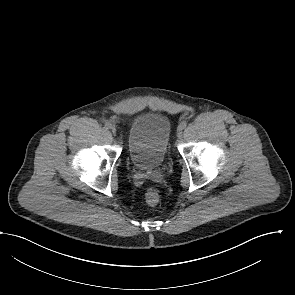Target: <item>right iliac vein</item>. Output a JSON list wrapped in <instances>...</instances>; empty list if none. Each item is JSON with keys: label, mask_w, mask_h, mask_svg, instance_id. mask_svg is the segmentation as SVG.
<instances>
[{"label": "right iliac vein", "mask_w": 295, "mask_h": 295, "mask_svg": "<svg viewBox=\"0 0 295 295\" xmlns=\"http://www.w3.org/2000/svg\"><path fill=\"white\" fill-rule=\"evenodd\" d=\"M111 131H112L113 134H116V131H117V130H116V128L113 126V127H111Z\"/></svg>", "instance_id": "63e3f726"}]
</instances>
